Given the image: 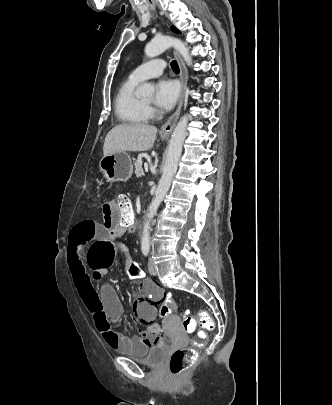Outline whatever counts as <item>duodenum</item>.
Wrapping results in <instances>:
<instances>
[{"label": "duodenum", "mask_w": 332, "mask_h": 405, "mask_svg": "<svg viewBox=\"0 0 332 405\" xmlns=\"http://www.w3.org/2000/svg\"><path fill=\"white\" fill-rule=\"evenodd\" d=\"M138 222L136 219H130L127 223H126V227L129 233H135L136 230L138 229Z\"/></svg>", "instance_id": "1"}]
</instances>
